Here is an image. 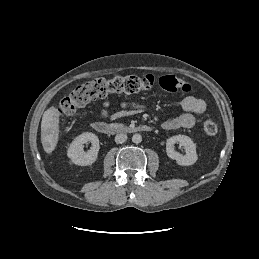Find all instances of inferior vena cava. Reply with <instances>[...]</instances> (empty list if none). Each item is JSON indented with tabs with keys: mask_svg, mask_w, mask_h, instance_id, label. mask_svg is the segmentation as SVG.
<instances>
[{
	"mask_svg": "<svg viewBox=\"0 0 259 259\" xmlns=\"http://www.w3.org/2000/svg\"><path fill=\"white\" fill-rule=\"evenodd\" d=\"M127 140V135L124 133H119L115 136V142L117 144H122Z\"/></svg>",
	"mask_w": 259,
	"mask_h": 259,
	"instance_id": "inferior-vena-cava-1",
	"label": "inferior vena cava"
}]
</instances>
